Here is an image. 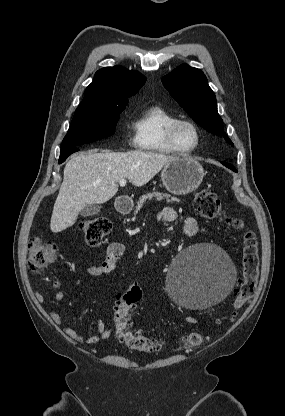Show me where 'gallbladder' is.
Here are the masks:
<instances>
[{
	"instance_id": "obj_1",
	"label": "gallbladder",
	"mask_w": 285,
	"mask_h": 416,
	"mask_svg": "<svg viewBox=\"0 0 285 416\" xmlns=\"http://www.w3.org/2000/svg\"><path fill=\"white\" fill-rule=\"evenodd\" d=\"M101 208L98 206V204H88V206H85L84 210H81L80 216H95V214H99Z\"/></svg>"
}]
</instances>
